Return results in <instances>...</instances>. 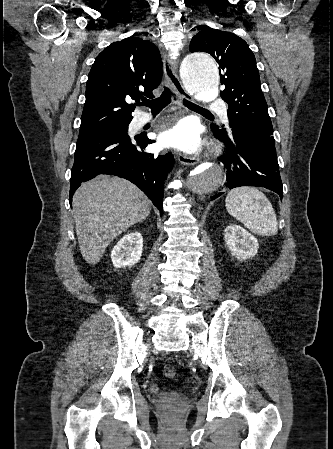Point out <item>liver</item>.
I'll list each match as a JSON object with an SVG mask.
<instances>
[{
  "instance_id": "1",
  "label": "liver",
  "mask_w": 333,
  "mask_h": 449,
  "mask_svg": "<svg viewBox=\"0 0 333 449\" xmlns=\"http://www.w3.org/2000/svg\"><path fill=\"white\" fill-rule=\"evenodd\" d=\"M72 205L80 251L90 265L100 261L112 240L151 211L150 200L137 186L104 175L82 184Z\"/></svg>"
}]
</instances>
